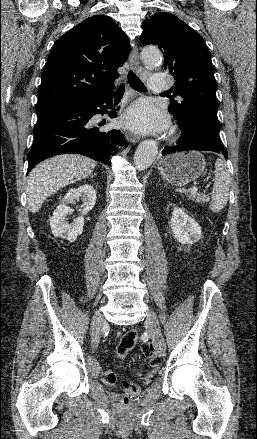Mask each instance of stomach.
Here are the masks:
<instances>
[{
  "instance_id": "1",
  "label": "stomach",
  "mask_w": 257,
  "mask_h": 439,
  "mask_svg": "<svg viewBox=\"0 0 257 439\" xmlns=\"http://www.w3.org/2000/svg\"><path fill=\"white\" fill-rule=\"evenodd\" d=\"M206 162L198 151H182L166 156L158 162L162 177L176 186H183L199 178Z\"/></svg>"
}]
</instances>
